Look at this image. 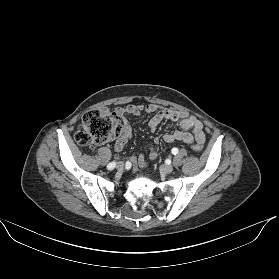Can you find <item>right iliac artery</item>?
<instances>
[{
  "label": "right iliac artery",
  "mask_w": 279,
  "mask_h": 279,
  "mask_svg": "<svg viewBox=\"0 0 279 279\" xmlns=\"http://www.w3.org/2000/svg\"><path fill=\"white\" fill-rule=\"evenodd\" d=\"M115 166H116V162H111L107 165V169L112 170L115 168Z\"/></svg>",
  "instance_id": "82829eb1"
}]
</instances>
